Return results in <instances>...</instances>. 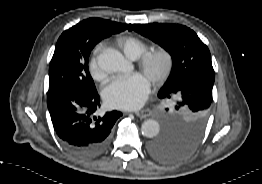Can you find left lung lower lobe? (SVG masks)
<instances>
[{"label":"left lung lower lobe","mask_w":262,"mask_h":184,"mask_svg":"<svg viewBox=\"0 0 262 184\" xmlns=\"http://www.w3.org/2000/svg\"><path fill=\"white\" fill-rule=\"evenodd\" d=\"M151 152L158 158L174 157L186 150L184 145H168L163 141L155 142L150 146Z\"/></svg>","instance_id":"0a47b994"}]
</instances>
